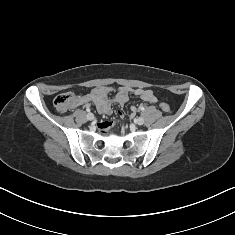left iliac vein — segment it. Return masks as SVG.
I'll return each mask as SVG.
<instances>
[{
  "instance_id": "4c4485c4",
  "label": "left iliac vein",
  "mask_w": 235,
  "mask_h": 235,
  "mask_svg": "<svg viewBox=\"0 0 235 235\" xmlns=\"http://www.w3.org/2000/svg\"><path fill=\"white\" fill-rule=\"evenodd\" d=\"M135 123L137 125H142L144 123V118L143 117H138L135 119Z\"/></svg>"
}]
</instances>
